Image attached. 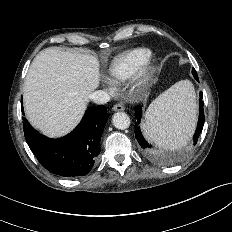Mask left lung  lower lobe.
I'll list each match as a JSON object with an SVG mask.
<instances>
[{
	"instance_id": "0a47b994",
	"label": "left lung lower lobe",
	"mask_w": 232,
	"mask_h": 232,
	"mask_svg": "<svg viewBox=\"0 0 232 232\" xmlns=\"http://www.w3.org/2000/svg\"><path fill=\"white\" fill-rule=\"evenodd\" d=\"M192 74H193L194 78L197 81H199V78H198L197 73H196L194 68L192 69ZM202 98H203V94H202V92H200V99H199V110H200V112H199L198 125H197V128H196L194 137H193L194 138V145L197 143L198 137H199V135H200V133L202 131L203 125H204L205 116H204V111H203ZM141 116H142V106L138 105V106L135 107V117H136V119L138 121V123H136V125L134 126V128H135V136H136L137 141L139 142L140 146L143 149H148V148H151L152 146L149 145L145 141L144 137L141 134L140 127H139Z\"/></svg>"
}]
</instances>
